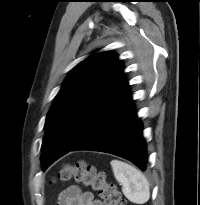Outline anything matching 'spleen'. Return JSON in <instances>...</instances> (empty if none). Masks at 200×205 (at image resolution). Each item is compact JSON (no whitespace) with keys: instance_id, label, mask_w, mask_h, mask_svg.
Returning a JSON list of instances; mask_svg holds the SVG:
<instances>
[{"instance_id":"3e777b00","label":"spleen","mask_w":200,"mask_h":205,"mask_svg":"<svg viewBox=\"0 0 200 205\" xmlns=\"http://www.w3.org/2000/svg\"><path fill=\"white\" fill-rule=\"evenodd\" d=\"M110 164L126 198L135 204L146 203L150 198V187L146 177L126 162L112 160Z\"/></svg>"}]
</instances>
